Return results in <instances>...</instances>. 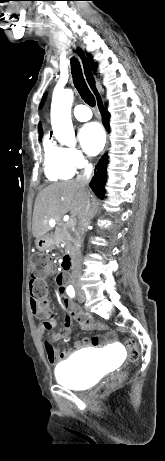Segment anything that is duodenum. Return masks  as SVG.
<instances>
[{
    "mask_svg": "<svg viewBox=\"0 0 165 461\" xmlns=\"http://www.w3.org/2000/svg\"><path fill=\"white\" fill-rule=\"evenodd\" d=\"M74 259H75V253L72 252L70 254H66L63 258V261H64V269L66 271H69L72 269L73 265H74ZM65 278V277H64Z\"/></svg>",
    "mask_w": 165,
    "mask_h": 461,
    "instance_id": "duodenum-1",
    "label": "duodenum"
}]
</instances>
